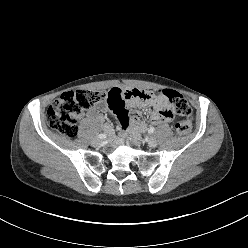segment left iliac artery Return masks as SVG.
Here are the masks:
<instances>
[{
	"mask_svg": "<svg viewBox=\"0 0 248 248\" xmlns=\"http://www.w3.org/2000/svg\"><path fill=\"white\" fill-rule=\"evenodd\" d=\"M154 130H155L154 128H150L149 133L150 134L154 133Z\"/></svg>",
	"mask_w": 248,
	"mask_h": 248,
	"instance_id": "left-iliac-artery-1",
	"label": "left iliac artery"
}]
</instances>
